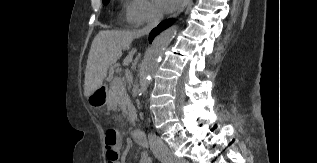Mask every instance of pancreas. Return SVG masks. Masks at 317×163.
<instances>
[{"mask_svg":"<svg viewBox=\"0 0 317 163\" xmlns=\"http://www.w3.org/2000/svg\"><path fill=\"white\" fill-rule=\"evenodd\" d=\"M116 79H118L121 83L117 84L115 82ZM108 80L110 81V88L108 90V106L115 111L121 110L123 117L130 123H134L137 118L136 109L131 103L122 79L114 77L112 72H110Z\"/></svg>","mask_w":317,"mask_h":163,"instance_id":"cf45deb5","label":"pancreas"}]
</instances>
